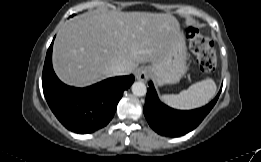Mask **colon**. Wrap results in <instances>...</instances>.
Wrapping results in <instances>:
<instances>
[{"label":"colon","mask_w":261,"mask_h":162,"mask_svg":"<svg viewBox=\"0 0 261 162\" xmlns=\"http://www.w3.org/2000/svg\"><path fill=\"white\" fill-rule=\"evenodd\" d=\"M187 37L200 68L204 72H212L216 67L217 58L210 38L194 29L188 30Z\"/></svg>","instance_id":"1"}]
</instances>
